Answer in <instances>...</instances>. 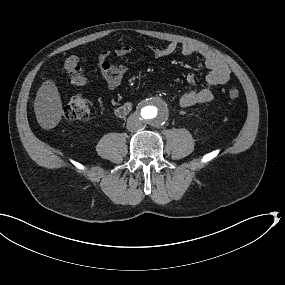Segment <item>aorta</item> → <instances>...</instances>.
<instances>
[{"instance_id":"1","label":"aorta","mask_w":285,"mask_h":285,"mask_svg":"<svg viewBox=\"0 0 285 285\" xmlns=\"http://www.w3.org/2000/svg\"><path fill=\"white\" fill-rule=\"evenodd\" d=\"M140 114L146 123L151 125H158L167 119L169 114V107L163 98L158 96H151L142 102L140 107Z\"/></svg>"}]
</instances>
